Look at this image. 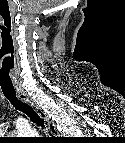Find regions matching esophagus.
Masks as SVG:
<instances>
[{
	"mask_svg": "<svg viewBox=\"0 0 125 143\" xmlns=\"http://www.w3.org/2000/svg\"><path fill=\"white\" fill-rule=\"evenodd\" d=\"M18 98L32 106L38 115L47 123L51 133L54 135L57 134L55 124L48 118L47 114L38 105H36L25 93H19Z\"/></svg>",
	"mask_w": 125,
	"mask_h": 143,
	"instance_id": "34e87169",
	"label": "esophagus"
}]
</instances>
